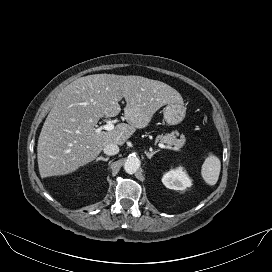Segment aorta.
Listing matches in <instances>:
<instances>
[{
  "label": "aorta",
  "mask_w": 272,
  "mask_h": 272,
  "mask_svg": "<svg viewBox=\"0 0 272 272\" xmlns=\"http://www.w3.org/2000/svg\"><path fill=\"white\" fill-rule=\"evenodd\" d=\"M140 168V160L136 156H129L124 163V170L128 174H134Z\"/></svg>",
  "instance_id": "aorta-1"
}]
</instances>
